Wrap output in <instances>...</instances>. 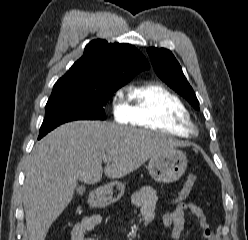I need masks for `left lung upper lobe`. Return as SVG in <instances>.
<instances>
[{"mask_svg":"<svg viewBox=\"0 0 248 240\" xmlns=\"http://www.w3.org/2000/svg\"><path fill=\"white\" fill-rule=\"evenodd\" d=\"M156 74L168 86L182 95L189 103L199 110L196 95L182 72V68L171 51L150 47L147 49Z\"/></svg>","mask_w":248,"mask_h":240,"instance_id":"1","label":"left lung upper lobe"}]
</instances>
